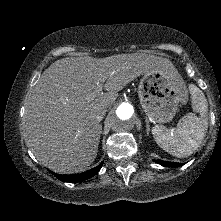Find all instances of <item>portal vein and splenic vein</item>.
I'll return each instance as SVG.
<instances>
[{
    "label": "portal vein and splenic vein",
    "mask_w": 221,
    "mask_h": 221,
    "mask_svg": "<svg viewBox=\"0 0 221 221\" xmlns=\"http://www.w3.org/2000/svg\"><path fill=\"white\" fill-rule=\"evenodd\" d=\"M105 80H106L105 77L100 78L99 82L97 83V86H96L95 90L92 93L91 98H94V97L100 95V93L102 91V88H103V83L105 82Z\"/></svg>",
    "instance_id": "1"
}]
</instances>
